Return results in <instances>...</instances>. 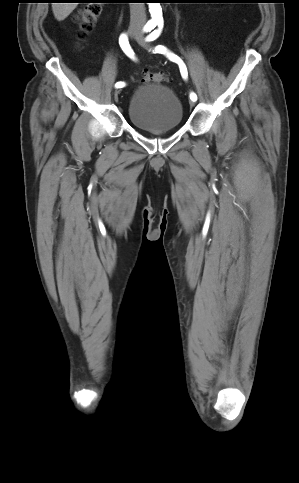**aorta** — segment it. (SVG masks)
I'll use <instances>...</instances> for the list:
<instances>
[{
    "mask_svg": "<svg viewBox=\"0 0 299 483\" xmlns=\"http://www.w3.org/2000/svg\"><path fill=\"white\" fill-rule=\"evenodd\" d=\"M149 4V12L151 14L153 21L162 20V8L160 3H148Z\"/></svg>",
    "mask_w": 299,
    "mask_h": 483,
    "instance_id": "1",
    "label": "aorta"
}]
</instances>
